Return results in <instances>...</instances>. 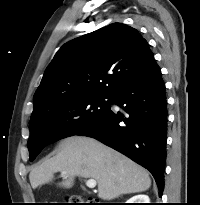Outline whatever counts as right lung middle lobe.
Listing matches in <instances>:
<instances>
[{
  "instance_id": "1",
  "label": "right lung middle lobe",
  "mask_w": 200,
  "mask_h": 205,
  "mask_svg": "<svg viewBox=\"0 0 200 205\" xmlns=\"http://www.w3.org/2000/svg\"><path fill=\"white\" fill-rule=\"evenodd\" d=\"M111 96L88 95L54 103L30 121V160L62 138L73 136L96 123L110 109Z\"/></svg>"
}]
</instances>
